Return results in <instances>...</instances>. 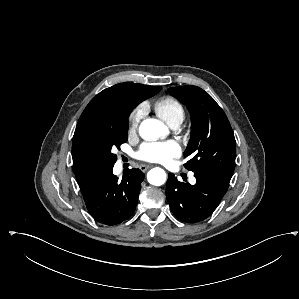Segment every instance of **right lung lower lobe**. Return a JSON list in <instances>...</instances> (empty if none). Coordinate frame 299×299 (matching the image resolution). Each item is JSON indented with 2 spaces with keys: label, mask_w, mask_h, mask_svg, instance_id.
<instances>
[{
  "label": "right lung lower lobe",
  "mask_w": 299,
  "mask_h": 299,
  "mask_svg": "<svg viewBox=\"0 0 299 299\" xmlns=\"http://www.w3.org/2000/svg\"><path fill=\"white\" fill-rule=\"evenodd\" d=\"M112 169L79 184L89 213L106 225L118 224L133 214L144 178L141 170L133 168L118 179Z\"/></svg>",
  "instance_id": "98d812e1"
}]
</instances>
